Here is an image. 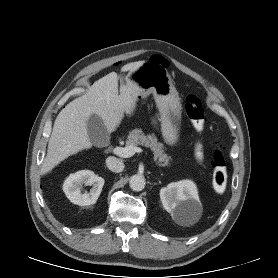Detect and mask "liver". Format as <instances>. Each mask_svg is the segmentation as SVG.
<instances>
[{
	"instance_id": "1",
	"label": "liver",
	"mask_w": 278,
	"mask_h": 278,
	"mask_svg": "<svg viewBox=\"0 0 278 278\" xmlns=\"http://www.w3.org/2000/svg\"><path fill=\"white\" fill-rule=\"evenodd\" d=\"M142 63L138 61L122 67L120 90L117 73L111 72L60 111L54 122L41 174L48 173L69 156L92 147L87 131L91 114L98 115L111 133L119 127L124 114L131 116L134 113L142 89L129 78V74Z\"/></svg>"
}]
</instances>
